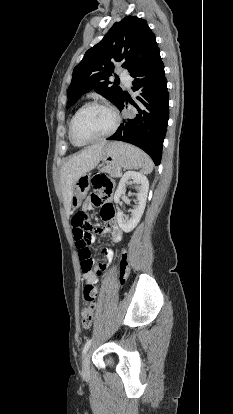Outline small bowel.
<instances>
[{
  "instance_id": "small-bowel-1",
  "label": "small bowel",
  "mask_w": 233,
  "mask_h": 414,
  "mask_svg": "<svg viewBox=\"0 0 233 414\" xmlns=\"http://www.w3.org/2000/svg\"><path fill=\"white\" fill-rule=\"evenodd\" d=\"M111 194L106 196L102 192L98 191L96 193V195L93 197L92 202L96 203L100 200H103V201H105V204L109 205V212L107 214H103L101 212V217L105 222V227L102 228L100 230V232L108 234L113 242H119L122 239V234L123 233H122V230L120 229V227L118 226V223L116 221L114 208L111 205V203L109 202ZM75 232H76V230H75V228H73L74 237H75ZM102 253H103V256H104L105 260H107V261H110L113 258V255H114L113 250L110 249V248H104L102 250ZM101 269L104 272L105 269H106V265L105 264H100L98 266L97 271H95L93 269H91L90 271H87V272L82 271L85 285H87V284L93 285L95 287L96 294H97L96 284H97V281H98L97 277H98V275H100L99 270H101Z\"/></svg>"
}]
</instances>
